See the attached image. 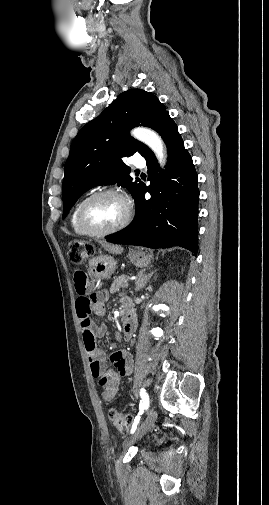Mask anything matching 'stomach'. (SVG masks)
Here are the masks:
<instances>
[{
	"instance_id": "0dacf381",
	"label": "stomach",
	"mask_w": 269,
	"mask_h": 505,
	"mask_svg": "<svg viewBox=\"0 0 269 505\" xmlns=\"http://www.w3.org/2000/svg\"><path fill=\"white\" fill-rule=\"evenodd\" d=\"M128 258L137 267H146L151 263L153 256L143 249H134L129 252ZM116 269V261L108 255H101L89 262V274L96 280L110 278Z\"/></svg>"
}]
</instances>
